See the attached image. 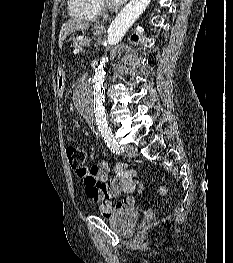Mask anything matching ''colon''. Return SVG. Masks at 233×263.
<instances>
[{"mask_svg": "<svg viewBox=\"0 0 233 263\" xmlns=\"http://www.w3.org/2000/svg\"><path fill=\"white\" fill-rule=\"evenodd\" d=\"M66 155L70 166L76 170L79 176H86L88 174V168L84 165L86 155L85 152L75 146H68L66 148ZM158 194L164 196L167 194L166 185H161L158 189Z\"/></svg>", "mask_w": 233, "mask_h": 263, "instance_id": "colon-1", "label": "colon"}]
</instances>
